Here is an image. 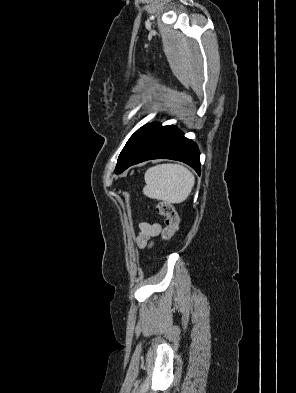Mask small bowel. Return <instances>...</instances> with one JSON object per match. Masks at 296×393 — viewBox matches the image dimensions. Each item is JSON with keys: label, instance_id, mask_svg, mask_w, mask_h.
<instances>
[{"label": "small bowel", "instance_id": "small-bowel-1", "mask_svg": "<svg viewBox=\"0 0 296 393\" xmlns=\"http://www.w3.org/2000/svg\"><path fill=\"white\" fill-rule=\"evenodd\" d=\"M139 230L137 244L140 248H148L152 245L153 239L161 233L162 226L159 223L141 222Z\"/></svg>", "mask_w": 296, "mask_h": 393}]
</instances>
